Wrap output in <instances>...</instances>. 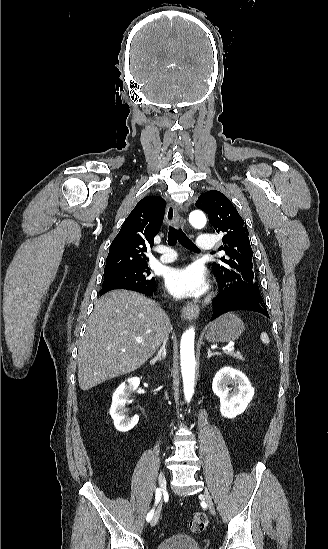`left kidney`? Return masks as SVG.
<instances>
[{"mask_svg":"<svg viewBox=\"0 0 328 549\" xmlns=\"http://www.w3.org/2000/svg\"><path fill=\"white\" fill-rule=\"evenodd\" d=\"M228 385H235L229 389ZM212 391L220 399V413L222 417L234 419L237 415L244 413L250 401L254 397V389L244 373L232 369V367H223L216 373ZM232 391V393H229Z\"/></svg>","mask_w":328,"mask_h":549,"instance_id":"left-kidney-1","label":"left kidney"}]
</instances>
